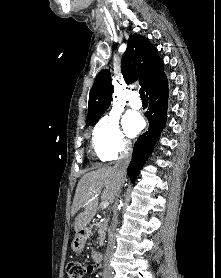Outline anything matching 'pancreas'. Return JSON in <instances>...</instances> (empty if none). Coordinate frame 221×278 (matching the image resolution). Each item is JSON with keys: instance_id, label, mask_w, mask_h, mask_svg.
I'll return each instance as SVG.
<instances>
[{"instance_id": "pancreas-1", "label": "pancreas", "mask_w": 221, "mask_h": 278, "mask_svg": "<svg viewBox=\"0 0 221 278\" xmlns=\"http://www.w3.org/2000/svg\"><path fill=\"white\" fill-rule=\"evenodd\" d=\"M94 227H96L97 234H99V243H102L105 237V230H106V223L97 222L92 224Z\"/></svg>"}]
</instances>
